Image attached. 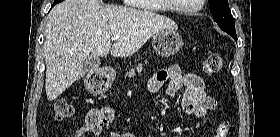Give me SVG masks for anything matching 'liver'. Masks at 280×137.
I'll return each mask as SVG.
<instances>
[{
  "mask_svg": "<svg viewBox=\"0 0 280 137\" xmlns=\"http://www.w3.org/2000/svg\"><path fill=\"white\" fill-rule=\"evenodd\" d=\"M176 23L157 13L105 5L100 0H64L49 13L43 55L47 99L55 100L85 75L83 58L92 53L129 57L155 34ZM119 35L111 44L112 36Z\"/></svg>",
  "mask_w": 280,
  "mask_h": 137,
  "instance_id": "liver-1",
  "label": "liver"
}]
</instances>
